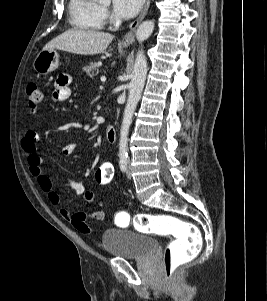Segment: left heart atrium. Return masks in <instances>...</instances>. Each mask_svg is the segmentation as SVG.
<instances>
[{
	"mask_svg": "<svg viewBox=\"0 0 267 301\" xmlns=\"http://www.w3.org/2000/svg\"><path fill=\"white\" fill-rule=\"evenodd\" d=\"M144 0H112L114 14L120 18L134 17L140 10Z\"/></svg>",
	"mask_w": 267,
	"mask_h": 301,
	"instance_id": "obj_1",
	"label": "left heart atrium"
}]
</instances>
